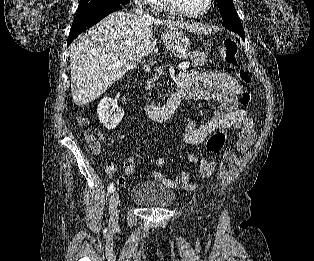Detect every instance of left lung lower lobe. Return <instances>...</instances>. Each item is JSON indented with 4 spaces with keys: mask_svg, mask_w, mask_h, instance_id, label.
I'll return each instance as SVG.
<instances>
[{
    "mask_svg": "<svg viewBox=\"0 0 314 261\" xmlns=\"http://www.w3.org/2000/svg\"><path fill=\"white\" fill-rule=\"evenodd\" d=\"M240 36H241V38L243 39V40H245V34L244 33H241V34H239Z\"/></svg>",
    "mask_w": 314,
    "mask_h": 261,
    "instance_id": "0a47b994",
    "label": "left lung lower lobe"
}]
</instances>
